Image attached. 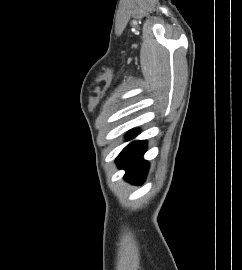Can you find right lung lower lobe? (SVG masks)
Segmentation results:
<instances>
[{
    "label": "right lung lower lobe",
    "mask_w": 242,
    "mask_h": 270,
    "mask_svg": "<svg viewBox=\"0 0 242 270\" xmlns=\"http://www.w3.org/2000/svg\"><path fill=\"white\" fill-rule=\"evenodd\" d=\"M135 135L129 136L132 139ZM146 151L145 141H134L119 154L116 161L119 168L125 169V179L136 184H141L146 177L148 164L143 160Z\"/></svg>",
    "instance_id": "right-lung-lower-lobe-1"
}]
</instances>
